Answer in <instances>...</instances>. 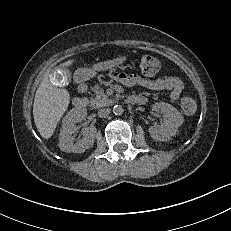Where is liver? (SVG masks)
Masks as SVG:
<instances>
[{
	"label": "liver",
	"mask_w": 231,
	"mask_h": 231,
	"mask_svg": "<svg viewBox=\"0 0 231 231\" xmlns=\"http://www.w3.org/2000/svg\"><path fill=\"white\" fill-rule=\"evenodd\" d=\"M74 60H68L63 66H70ZM70 101L69 92L66 89L55 87L49 77L42 79L35 93L33 103V115L35 125L40 135L48 139L68 108Z\"/></svg>",
	"instance_id": "liver-1"
}]
</instances>
